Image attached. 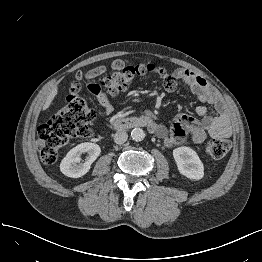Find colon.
Wrapping results in <instances>:
<instances>
[{
	"label": "colon",
	"instance_id": "5ec220e1",
	"mask_svg": "<svg viewBox=\"0 0 262 262\" xmlns=\"http://www.w3.org/2000/svg\"><path fill=\"white\" fill-rule=\"evenodd\" d=\"M151 63L124 64L119 62L115 71L95 81L87 78L86 87L95 95H110L121 91L134 79L156 71ZM84 75L79 72L69 84V95L65 104L43 122L37 131V148L41 160L48 165L54 164L59 152L72 138L90 139L93 132L90 124L95 114L80 97ZM226 139H213L205 144V154L211 158H223L230 150Z\"/></svg>",
	"mask_w": 262,
	"mask_h": 262
}]
</instances>
